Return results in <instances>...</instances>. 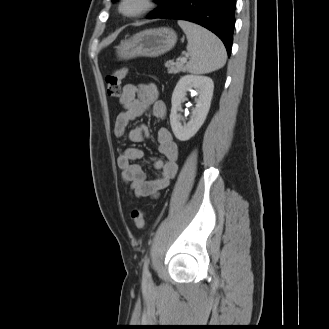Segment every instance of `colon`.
I'll return each instance as SVG.
<instances>
[{
	"mask_svg": "<svg viewBox=\"0 0 329 329\" xmlns=\"http://www.w3.org/2000/svg\"><path fill=\"white\" fill-rule=\"evenodd\" d=\"M127 73H128V68L122 67L107 75L106 85H107V92H108L109 96L116 98L121 95L122 80L124 79V77L126 76ZM131 217H132L135 227L139 231H142L145 229V227H146L145 214L141 209L133 210Z\"/></svg>",
	"mask_w": 329,
	"mask_h": 329,
	"instance_id": "colon-1",
	"label": "colon"
}]
</instances>
